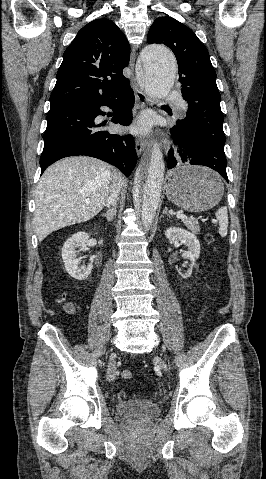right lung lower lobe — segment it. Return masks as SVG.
Segmentation results:
<instances>
[{"label":"right lung lower lobe","mask_w":266,"mask_h":479,"mask_svg":"<svg viewBox=\"0 0 266 479\" xmlns=\"http://www.w3.org/2000/svg\"><path fill=\"white\" fill-rule=\"evenodd\" d=\"M133 103L134 93L129 85L103 99L50 107L43 135L41 173L61 158L85 155L116 166L128 177L137 162L133 137L110 134L99 129L101 124H95L94 120L98 115H105L100 107L108 106L114 111L112 122L127 126L132 120Z\"/></svg>","instance_id":"obj_1"}]
</instances>
